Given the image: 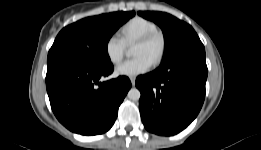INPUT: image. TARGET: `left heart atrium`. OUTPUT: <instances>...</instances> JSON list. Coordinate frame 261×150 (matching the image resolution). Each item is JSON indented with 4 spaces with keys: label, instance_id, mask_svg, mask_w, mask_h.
Segmentation results:
<instances>
[{
    "label": "left heart atrium",
    "instance_id": "39dd6f15",
    "mask_svg": "<svg viewBox=\"0 0 261 150\" xmlns=\"http://www.w3.org/2000/svg\"><path fill=\"white\" fill-rule=\"evenodd\" d=\"M153 61L146 55H139L126 60L116 67V73L122 76L136 77L150 70Z\"/></svg>",
    "mask_w": 261,
    "mask_h": 150
}]
</instances>
